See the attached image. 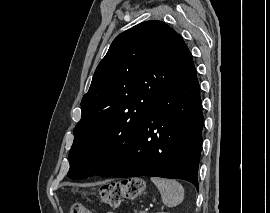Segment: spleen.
<instances>
[{
  "label": "spleen",
  "instance_id": "obj_1",
  "mask_svg": "<svg viewBox=\"0 0 270 213\" xmlns=\"http://www.w3.org/2000/svg\"><path fill=\"white\" fill-rule=\"evenodd\" d=\"M158 188L164 204L168 207L179 205L184 199V188L176 180L151 177Z\"/></svg>",
  "mask_w": 270,
  "mask_h": 213
}]
</instances>
